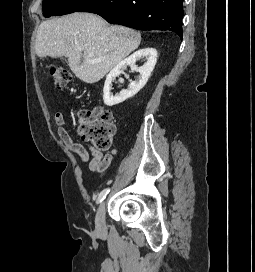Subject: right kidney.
I'll return each mask as SVG.
<instances>
[{"instance_id":"obj_1","label":"right kidney","mask_w":255,"mask_h":272,"mask_svg":"<svg viewBox=\"0 0 255 272\" xmlns=\"http://www.w3.org/2000/svg\"><path fill=\"white\" fill-rule=\"evenodd\" d=\"M146 58L147 62L140 68L136 66V61L141 58ZM157 61V51L154 48H143L121 61L116 65L106 77V81L103 88V101L107 106H113L119 104L128 98L133 97L138 93L147 83L151 72L153 71ZM127 66H130L132 70H136L140 73L138 81H133L129 84L127 90H122L119 94L113 96L110 92L112 82L118 77Z\"/></svg>"}]
</instances>
